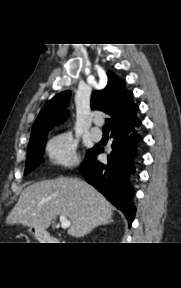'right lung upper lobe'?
<instances>
[{
    "label": "right lung upper lobe",
    "instance_id": "obj_1",
    "mask_svg": "<svg viewBox=\"0 0 181 288\" xmlns=\"http://www.w3.org/2000/svg\"><path fill=\"white\" fill-rule=\"evenodd\" d=\"M107 76V86L103 90L94 92L91 107L111 116V119L107 120L111 132L134 126L140 120L136 117L138 106L132 101L133 93L126 89L124 80L114 73L107 72ZM70 95V91L61 92L44 105L33 124L30 140L46 133L54 124L65 120L68 114L65 108Z\"/></svg>",
    "mask_w": 181,
    "mask_h": 288
}]
</instances>
